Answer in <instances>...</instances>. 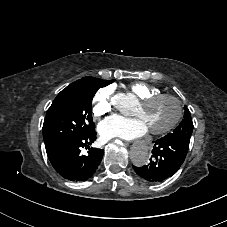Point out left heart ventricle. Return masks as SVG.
Wrapping results in <instances>:
<instances>
[{
	"instance_id": "1",
	"label": "left heart ventricle",
	"mask_w": 227,
	"mask_h": 227,
	"mask_svg": "<svg viewBox=\"0 0 227 227\" xmlns=\"http://www.w3.org/2000/svg\"><path fill=\"white\" fill-rule=\"evenodd\" d=\"M175 114L174 102L168 98H163L143 108L139 105L135 116L141 118L149 130H158L165 128L173 120Z\"/></svg>"
}]
</instances>
